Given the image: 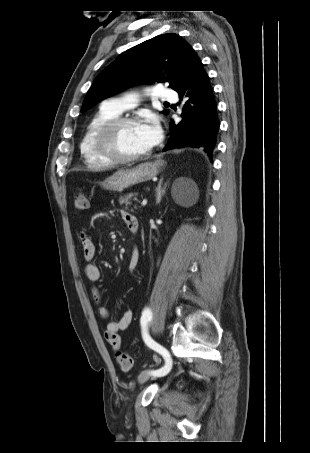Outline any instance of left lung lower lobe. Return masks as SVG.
Returning a JSON list of instances; mask_svg holds the SVG:
<instances>
[{
  "mask_svg": "<svg viewBox=\"0 0 310 453\" xmlns=\"http://www.w3.org/2000/svg\"><path fill=\"white\" fill-rule=\"evenodd\" d=\"M174 90L180 100L184 95L190 97L182 109L183 119L188 118L189 102L194 106L189 122L182 120L176 125L173 120L170 122L171 138L163 151L183 147L203 148L211 158L220 123L208 75L195 52L191 54L185 73Z\"/></svg>",
  "mask_w": 310,
  "mask_h": 453,
  "instance_id": "left-lung-lower-lobe-1",
  "label": "left lung lower lobe"
}]
</instances>
